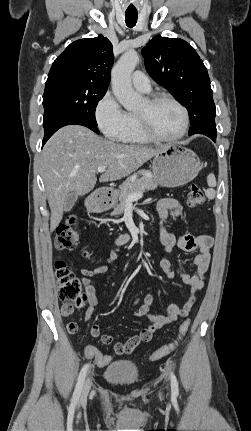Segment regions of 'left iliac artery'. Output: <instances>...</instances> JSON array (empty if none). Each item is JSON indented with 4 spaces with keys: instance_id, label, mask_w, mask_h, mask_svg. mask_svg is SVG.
<instances>
[{
    "instance_id": "obj_1",
    "label": "left iliac artery",
    "mask_w": 251,
    "mask_h": 431,
    "mask_svg": "<svg viewBox=\"0 0 251 431\" xmlns=\"http://www.w3.org/2000/svg\"><path fill=\"white\" fill-rule=\"evenodd\" d=\"M170 379H171V390H172V394L177 396L179 394V390H178V381L176 376L174 375L173 372L170 373Z\"/></svg>"
}]
</instances>
